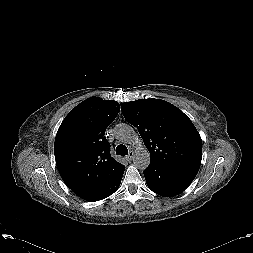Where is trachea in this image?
Returning <instances> with one entry per match:
<instances>
[{"label":"trachea","mask_w":253,"mask_h":253,"mask_svg":"<svg viewBox=\"0 0 253 253\" xmlns=\"http://www.w3.org/2000/svg\"><path fill=\"white\" fill-rule=\"evenodd\" d=\"M116 154L117 155H121V156H125L128 154V149L125 145L120 144L116 147Z\"/></svg>","instance_id":"3493384b"}]
</instances>
